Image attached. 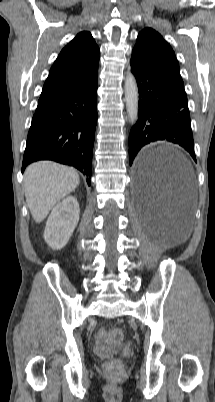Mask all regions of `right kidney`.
Masks as SVG:
<instances>
[{
	"label": "right kidney",
	"mask_w": 215,
	"mask_h": 402,
	"mask_svg": "<svg viewBox=\"0 0 215 402\" xmlns=\"http://www.w3.org/2000/svg\"><path fill=\"white\" fill-rule=\"evenodd\" d=\"M80 208L75 197L58 203L48 217L44 239L52 249H61L69 241L79 221Z\"/></svg>",
	"instance_id": "ca27d5eb"
}]
</instances>
